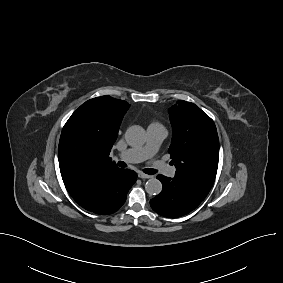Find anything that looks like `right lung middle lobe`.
<instances>
[{
    "label": "right lung middle lobe",
    "instance_id": "dd1d6c3e",
    "mask_svg": "<svg viewBox=\"0 0 283 283\" xmlns=\"http://www.w3.org/2000/svg\"><path fill=\"white\" fill-rule=\"evenodd\" d=\"M78 122L77 120H71L64 131H62V137L66 144L70 146H76L83 142V138L81 137L78 130Z\"/></svg>",
    "mask_w": 283,
    "mask_h": 283
}]
</instances>
